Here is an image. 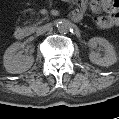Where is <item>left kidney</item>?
<instances>
[{"label":"left kidney","instance_id":"5707ae66","mask_svg":"<svg viewBox=\"0 0 119 119\" xmlns=\"http://www.w3.org/2000/svg\"><path fill=\"white\" fill-rule=\"evenodd\" d=\"M97 45L104 48L105 55L101 57L99 53L91 51L89 54L90 61L103 67H108L115 64L117 61V57L114 47L106 39L101 37H94L89 40L90 48H96Z\"/></svg>","mask_w":119,"mask_h":119}]
</instances>
